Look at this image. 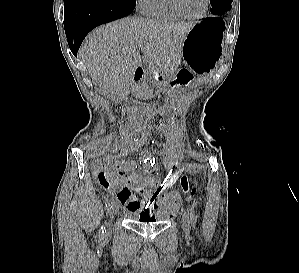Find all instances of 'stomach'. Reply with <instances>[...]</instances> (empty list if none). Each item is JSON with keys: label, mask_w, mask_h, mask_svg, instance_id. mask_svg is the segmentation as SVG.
Returning a JSON list of instances; mask_svg holds the SVG:
<instances>
[{"label": "stomach", "mask_w": 299, "mask_h": 273, "mask_svg": "<svg viewBox=\"0 0 299 273\" xmlns=\"http://www.w3.org/2000/svg\"><path fill=\"white\" fill-rule=\"evenodd\" d=\"M224 30L225 23L219 17L198 22L183 43L184 64L188 67H175L177 74L164 77L162 89L171 93L178 88H190L193 81H197L195 74L215 71L223 51Z\"/></svg>", "instance_id": "stomach-1"}]
</instances>
